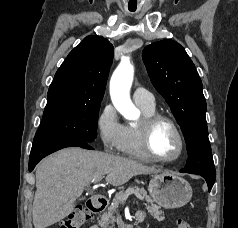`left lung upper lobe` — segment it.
<instances>
[{
	"label": "left lung upper lobe",
	"mask_w": 238,
	"mask_h": 228,
	"mask_svg": "<svg viewBox=\"0 0 238 228\" xmlns=\"http://www.w3.org/2000/svg\"><path fill=\"white\" fill-rule=\"evenodd\" d=\"M151 82L179 123L188 151L184 169L216 176L206 123V101L198 72L185 49L173 40L148 45L142 52Z\"/></svg>",
	"instance_id": "5c2ea615"
}]
</instances>
